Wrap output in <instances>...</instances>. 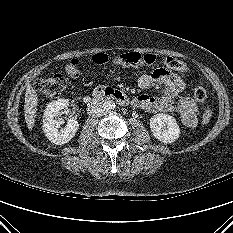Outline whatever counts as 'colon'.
Returning a JSON list of instances; mask_svg holds the SVG:
<instances>
[{"mask_svg":"<svg viewBox=\"0 0 233 233\" xmlns=\"http://www.w3.org/2000/svg\"><path fill=\"white\" fill-rule=\"evenodd\" d=\"M92 60L97 65H104L109 61L108 55L104 53L95 54L92 57ZM113 62L119 65H145L152 66L155 64H162L163 66L176 70L179 72L188 71V65L178 59L167 57L162 60H159L153 54H141L138 52H127L123 53L113 59ZM80 74V62L77 59L69 60L63 67L61 74H56L53 76L39 78L36 80L34 86L35 89L48 98L59 97L67 88L66 77L75 78ZM207 92L206 90L199 86L196 87L193 92V98L196 101H204L206 99ZM212 119V110L206 109L202 114V123L208 124Z\"/></svg>","mask_w":233,"mask_h":233,"instance_id":"obj_1","label":"colon"}]
</instances>
